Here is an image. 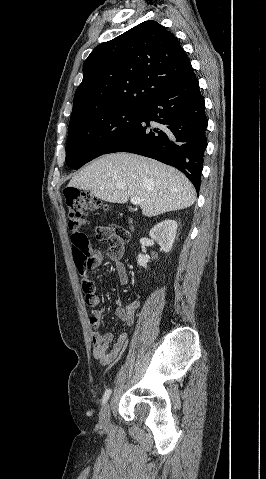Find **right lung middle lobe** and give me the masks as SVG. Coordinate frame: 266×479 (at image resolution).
<instances>
[{
	"label": "right lung middle lobe",
	"mask_w": 266,
	"mask_h": 479,
	"mask_svg": "<svg viewBox=\"0 0 266 479\" xmlns=\"http://www.w3.org/2000/svg\"><path fill=\"white\" fill-rule=\"evenodd\" d=\"M143 107L120 108L70 121L66 162L79 169L103 155L140 119Z\"/></svg>",
	"instance_id": "right-lung-middle-lobe-1"
}]
</instances>
